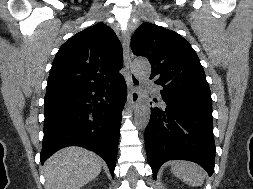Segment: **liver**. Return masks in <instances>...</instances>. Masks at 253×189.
<instances>
[{
  "label": "liver",
  "mask_w": 253,
  "mask_h": 189,
  "mask_svg": "<svg viewBox=\"0 0 253 189\" xmlns=\"http://www.w3.org/2000/svg\"><path fill=\"white\" fill-rule=\"evenodd\" d=\"M102 160L80 147H67L53 154L45 163V189H80L95 179Z\"/></svg>",
  "instance_id": "1"
}]
</instances>
